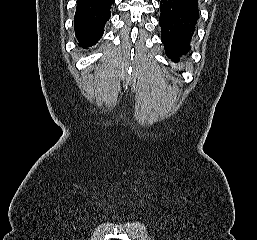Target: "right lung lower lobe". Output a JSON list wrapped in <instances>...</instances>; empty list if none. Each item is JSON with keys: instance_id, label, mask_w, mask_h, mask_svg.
Returning a JSON list of instances; mask_svg holds the SVG:
<instances>
[{"instance_id": "right-lung-lower-lobe-1", "label": "right lung lower lobe", "mask_w": 257, "mask_h": 240, "mask_svg": "<svg viewBox=\"0 0 257 240\" xmlns=\"http://www.w3.org/2000/svg\"><path fill=\"white\" fill-rule=\"evenodd\" d=\"M114 2L115 0H77L74 29L80 46H92L102 37Z\"/></svg>"}]
</instances>
